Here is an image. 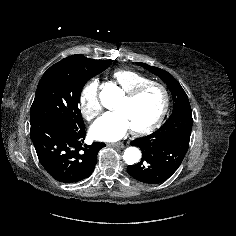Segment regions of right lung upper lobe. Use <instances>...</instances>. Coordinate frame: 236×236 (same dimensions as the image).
Instances as JSON below:
<instances>
[{
  "label": "right lung upper lobe",
  "instance_id": "cb5924a9",
  "mask_svg": "<svg viewBox=\"0 0 236 236\" xmlns=\"http://www.w3.org/2000/svg\"><path fill=\"white\" fill-rule=\"evenodd\" d=\"M100 60H92L84 57L83 55H72L56 63L57 65L91 68L97 65Z\"/></svg>",
  "mask_w": 236,
  "mask_h": 236
}]
</instances>
